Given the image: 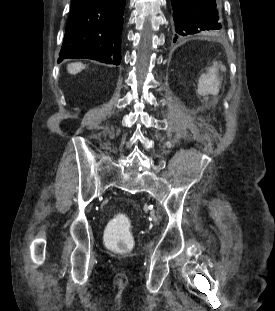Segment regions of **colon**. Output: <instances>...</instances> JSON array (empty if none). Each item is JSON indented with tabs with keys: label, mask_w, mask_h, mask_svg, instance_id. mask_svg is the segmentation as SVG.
I'll return each instance as SVG.
<instances>
[{
	"label": "colon",
	"mask_w": 275,
	"mask_h": 311,
	"mask_svg": "<svg viewBox=\"0 0 275 311\" xmlns=\"http://www.w3.org/2000/svg\"><path fill=\"white\" fill-rule=\"evenodd\" d=\"M105 240L108 246L122 252L134 246L130 233V221L124 214H117L107 225Z\"/></svg>",
	"instance_id": "1"
}]
</instances>
